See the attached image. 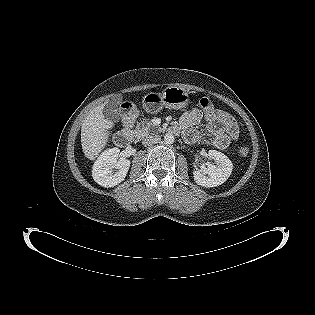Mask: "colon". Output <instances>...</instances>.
<instances>
[{"label":"colon","mask_w":315,"mask_h":315,"mask_svg":"<svg viewBox=\"0 0 315 315\" xmlns=\"http://www.w3.org/2000/svg\"><path fill=\"white\" fill-rule=\"evenodd\" d=\"M198 105L203 109V110H213L215 106L213 103L210 101V99L206 97H202L198 100ZM249 153V149L246 146H241L239 148V154L241 156H246Z\"/></svg>","instance_id":"5ec220e1"}]
</instances>
